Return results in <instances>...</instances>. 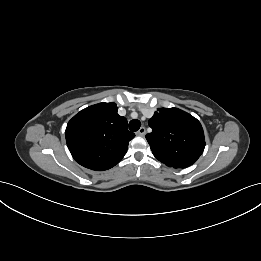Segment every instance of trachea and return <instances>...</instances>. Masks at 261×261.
Listing matches in <instances>:
<instances>
[{"label":"trachea","instance_id":"trachea-1","mask_svg":"<svg viewBox=\"0 0 261 261\" xmlns=\"http://www.w3.org/2000/svg\"><path fill=\"white\" fill-rule=\"evenodd\" d=\"M140 126H141V122L137 119L131 120L129 122V129L133 132L138 131Z\"/></svg>","mask_w":261,"mask_h":261}]
</instances>
